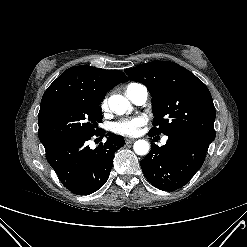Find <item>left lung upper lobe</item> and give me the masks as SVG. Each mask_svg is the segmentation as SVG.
<instances>
[{"mask_svg":"<svg viewBox=\"0 0 247 247\" xmlns=\"http://www.w3.org/2000/svg\"><path fill=\"white\" fill-rule=\"evenodd\" d=\"M125 72L151 92L155 116L151 134L185 132L209 142L215 139L213 100L193 73L170 61L149 62Z\"/></svg>","mask_w":247,"mask_h":247,"instance_id":"obj_1","label":"left lung upper lobe"}]
</instances>
